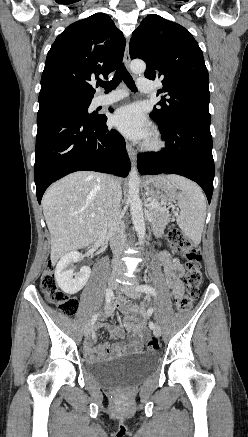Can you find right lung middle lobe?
Segmentation results:
<instances>
[{
	"mask_svg": "<svg viewBox=\"0 0 248 437\" xmlns=\"http://www.w3.org/2000/svg\"><path fill=\"white\" fill-rule=\"evenodd\" d=\"M91 100L92 98L90 97H83L62 91H52L43 95H39V107L50 104H60L76 110L79 114L86 118H94L99 115L97 113H88V107L91 103Z\"/></svg>",
	"mask_w": 248,
	"mask_h": 437,
	"instance_id": "obj_1",
	"label": "right lung middle lobe"
}]
</instances>
